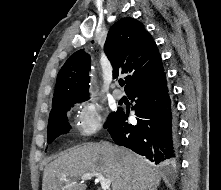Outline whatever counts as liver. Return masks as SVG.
I'll return each mask as SVG.
<instances>
[{"label": "liver", "mask_w": 221, "mask_h": 190, "mask_svg": "<svg viewBox=\"0 0 221 190\" xmlns=\"http://www.w3.org/2000/svg\"><path fill=\"white\" fill-rule=\"evenodd\" d=\"M86 173L110 179L112 190H151L160 182L148 161L133 151L108 142L86 143L62 152L45 167L42 190H86L78 181Z\"/></svg>", "instance_id": "obj_1"}]
</instances>
